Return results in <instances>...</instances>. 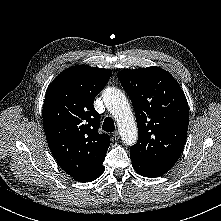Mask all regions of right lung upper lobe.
<instances>
[{"label":"right lung upper lobe","instance_id":"cb5924a9","mask_svg":"<svg viewBox=\"0 0 221 221\" xmlns=\"http://www.w3.org/2000/svg\"><path fill=\"white\" fill-rule=\"evenodd\" d=\"M111 70L76 65L49 85L43 125L49 148L60 167L75 180L90 182L104 172L110 139L99 134L100 116L93 100L105 87Z\"/></svg>","mask_w":221,"mask_h":221}]
</instances>
